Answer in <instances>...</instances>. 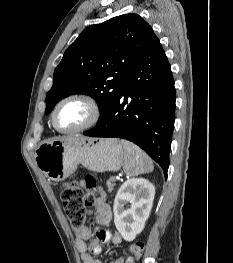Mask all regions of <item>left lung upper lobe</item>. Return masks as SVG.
Here are the masks:
<instances>
[{"label": "left lung upper lobe", "instance_id": "5c2ea615", "mask_svg": "<svg viewBox=\"0 0 233 263\" xmlns=\"http://www.w3.org/2000/svg\"><path fill=\"white\" fill-rule=\"evenodd\" d=\"M155 38L151 26L137 14L86 28L54 71L45 113L66 96L87 94L98 102L100 121L114 105L126 75Z\"/></svg>", "mask_w": 233, "mask_h": 263}]
</instances>
